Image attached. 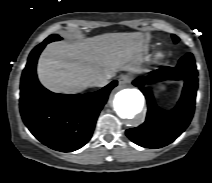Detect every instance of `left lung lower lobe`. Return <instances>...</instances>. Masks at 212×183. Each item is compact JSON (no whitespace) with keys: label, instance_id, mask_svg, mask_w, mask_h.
<instances>
[{"label":"left lung lower lobe","instance_id":"1","mask_svg":"<svg viewBox=\"0 0 212 183\" xmlns=\"http://www.w3.org/2000/svg\"><path fill=\"white\" fill-rule=\"evenodd\" d=\"M197 76L195 61L190 53L182 57L175 68L163 67L150 74L149 82L185 79L182 96L171 111H164L155 104L150 89L143 87V78L134 80L133 84L146 96L148 112L145 122L136 128L126 130V135L137 145L147 148H161L173 142L192 120L198 88Z\"/></svg>","mask_w":212,"mask_h":183}]
</instances>
